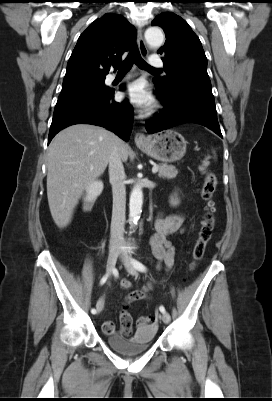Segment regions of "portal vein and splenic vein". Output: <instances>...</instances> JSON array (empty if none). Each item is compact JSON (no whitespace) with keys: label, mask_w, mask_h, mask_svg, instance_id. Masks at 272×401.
<instances>
[{"label":"portal vein and splenic vein","mask_w":272,"mask_h":401,"mask_svg":"<svg viewBox=\"0 0 272 401\" xmlns=\"http://www.w3.org/2000/svg\"><path fill=\"white\" fill-rule=\"evenodd\" d=\"M157 171H158V167L155 166V167L152 168V172H153L154 174L157 173Z\"/></svg>","instance_id":"obj_1"}]
</instances>
